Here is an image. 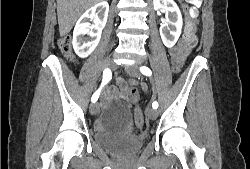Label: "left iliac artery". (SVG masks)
<instances>
[{
	"label": "left iliac artery",
	"instance_id": "44dca946",
	"mask_svg": "<svg viewBox=\"0 0 250 169\" xmlns=\"http://www.w3.org/2000/svg\"><path fill=\"white\" fill-rule=\"evenodd\" d=\"M140 71H141L142 74H144L146 76H151V74H152L151 70L148 67H146V66L140 67ZM152 107L154 109H157L158 108V103L156 101H154L152 103Z\"/></svg>",
	"mask_w": 250,
	"mask_h": 169
}]
</instances>
